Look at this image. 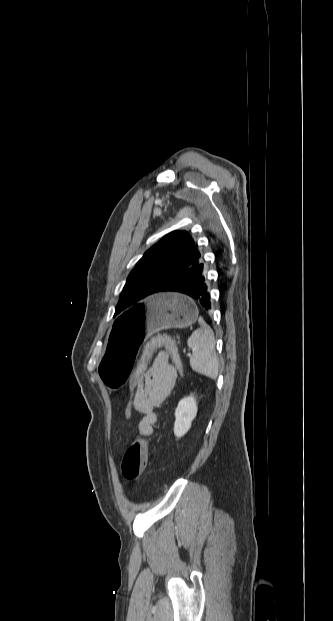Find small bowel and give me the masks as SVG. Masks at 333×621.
<instances>
[{
    "label": "small bowel",
    "mask_w": 333,
    "mask_h": 621,
    "mask_svg": "<svg viewBox=\"0 0 333 621\" xmlns=\"http://www.w3.org/2000/svg\"><path fill=\"white\" fill-rule=\"evenodd\" d=\"M177 372L169 363L166 352H160L146 370L133 398V408L143 416L137 424L138 432L149 436L156 422L154 409L169 396L175 386Z\"/></svg>",
    "instance_id": "obj_1"
}]
</instances>
